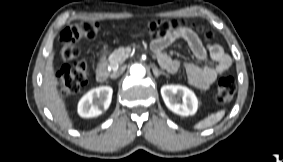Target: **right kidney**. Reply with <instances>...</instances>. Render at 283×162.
Wrapping results in <instances>:
<instances>
[{
    "label": "right kidney",
    "instance_id": "obj_1",
    "mask_svg": "<svg viewBox=\"0 0 283 162\" xmlns=\"http://www.w3.org/2000/svg\"><path fill=\"white\" fill-rule=\"evenodd\" d=\"M113 89L101 86L87 92L78 103V114L83 118L96 117L107 110L112 100Z\"/></svg>",
    "mask_w": 283,
    "mask_h": 162
}]
</instances>
